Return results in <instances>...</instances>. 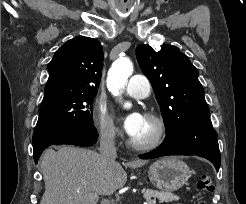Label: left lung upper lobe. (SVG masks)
I'll return each mask as SVG.
<instances>
[{
    "mask_svg": "<svg viewBox=\"0 0 246 204\" xmlns=\"http://www.w3.org/2000/svg\"><path fill=\"white\" fill-rule=\"evenodd\" d=\"M136 57L155 91L166 134L179 125L210 119L197 68L177 47L163 45L158 51L140 45Z\"/></svg>",
    "mask_w": 246,
    "mask_h": 204,
    "instance_id": "left-lung-upper-lobe-1",
    "label": "left lung upper lobe"
}]
</instances>
